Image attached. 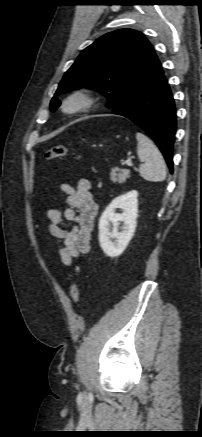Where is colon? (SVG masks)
Here are the masks:
<instances>
[{
  "label": "colon",
  "mask_w": 202,
  "mask_h": 437,
  "mask_svg": "<svg viewBox=\"0 0 202 437\" xmlns=\"http://www.w3.org/2000/svg\"><path fill=\"white\" fill-rule=\"evenodd\" d=\"M69 152L68 147L64 145H56L50 147L45 152V158L48 160L60 159L65 157ZM70 298L74 303H77L80 299V288L76 282H73L70 287Z\"/></svg>",
  "instance_id": "1"
}]
</instances>
